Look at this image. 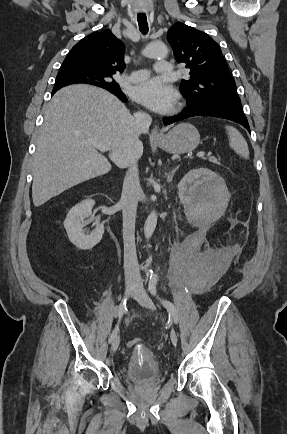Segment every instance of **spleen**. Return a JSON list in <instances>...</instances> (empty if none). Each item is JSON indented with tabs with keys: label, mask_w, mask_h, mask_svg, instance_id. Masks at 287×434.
Here are the masks:
<instances>
[{
	"label": "spleen",
	"mask_w": 287,
	"mask_h": 434,
	"mask_svg": "<svg viewBox=\"0 0 287 434\" xmlns=\"http://www.w3.org/2000/svg\"><path fill=\"white\" fill-rule=\"evenodd\" d=\"M229 146L233 149L240 157L244 159H249V149L246 140L242 134L234 127L227 125L226 127Z\"/></svg>",
	"instance_id": "obj_1"
}]
</instances>
